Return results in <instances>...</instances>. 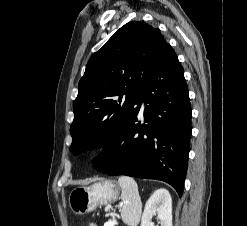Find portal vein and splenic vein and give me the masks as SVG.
Segmentation results:
<instances>
[{
	"mask_svg": "<svg viewBox=\"0 0 247 226\" xmlns=\"http://www.w3.org/2000/svg\"><path fill=\"white\" fill-rule=\"evenodd\" d=\"M116 223H117L116 219H113V220L108 221L107 223H105L104 226H114V224H116Z\"/></svg>",
	"mask_w": 247,
	"mask_h": 226,
	"instance_id": "obj_1",
	"label": "portal vein and splenic vein"
}]
</instances>
